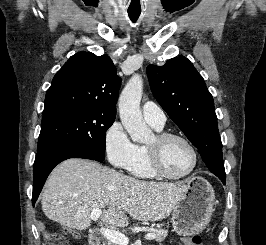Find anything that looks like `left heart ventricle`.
I'll list each match as a JSON object with an SVG mask.
<instances>
[{
    "mask_svg": "<svg viewBox=\"0 0 266 245\" xmlns=\"http://www.w3.org/2000/svg\"><path fill=\"white\" fill-rule=\"evenodd\" d=\"M146 146L158 151L162 168L171 176H182L192 167L193 153L190 147L179 139H170L160 145L154 136Z\"/></svg>",
    "mask_w": 266,
    "mask_h": 245,
    "instance_id": "1",
    "label": "left heart ventricle"
}]
</instances>
